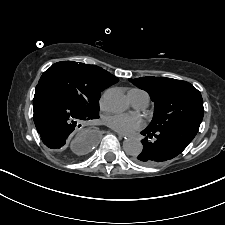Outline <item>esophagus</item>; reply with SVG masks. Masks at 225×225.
<instances>
[{
    "instance_id": "obj_1",
    "label": "esophagus",
    "mask_w": 225,
    "mask_h": 225,
    "mask_svg": "<svg viewBox=\"0 0 225 225\" xmlns=\"http://www.w3.org/2000/svg\"><path fill=\"white\" fill-rule=\"evenodd\" d=\"M117 132V134L120 136V137H126L127 135L126 134H124V133H120V132H118V131H116Z\"/></svg>"
}]
</instances>
